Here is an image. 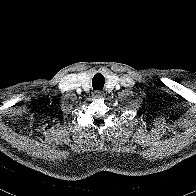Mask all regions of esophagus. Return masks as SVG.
I'll return each mask as SVG.
<instances>
[{
	"label": "esophagus",
	"mask_w": 196,
	"mask_h": 196,
	"mask_svg": "<svg viewBox=\"0 0 196 196\" xmlns=\"http://www.w3.org/2000/svg\"><path fill=\"white\" fill-rule=\"evenodd\" d=\"M94 98H102L104 93L102 91H95L93 94Z\"/></svg>",
	"instance_id": "obj_1"
}]
</instances>
